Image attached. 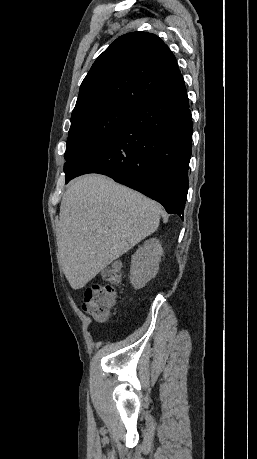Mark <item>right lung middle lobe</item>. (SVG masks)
Returning a JSON list of instances; mask_svg holds the SVG:
<instances>
[{"mask_svg": "<svg viewBox=\"0 0 257 459\" xmlns=\"http://www.w3.org/2000/svg\"><path fill=\"white\" fill-rule=\"evenodd\" d=\"M135 108L108 106L71 120L65 152V178L107 145L130 121Z\"/></svg>", "mask_w": 257, "mask_h": 459, "instance_id": "right-lung-middle-lobe-1", "label": "right lung middle lobe"}]
</instances>
